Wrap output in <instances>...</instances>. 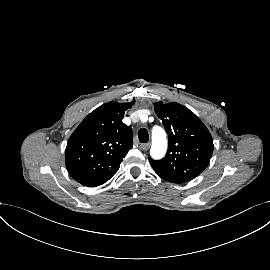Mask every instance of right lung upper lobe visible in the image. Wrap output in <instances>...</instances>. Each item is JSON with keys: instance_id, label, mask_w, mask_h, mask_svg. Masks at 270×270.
<instances>
[{"instance_id": "cb5924a9", "label": "right lung upper lobe", "mask_w": 270, "mask_h": 270, "mask_svg": "<svg viewBox=\"0 0 270 270\" xmlns=\"http://www.w3.org/2000/svg\"><path fill=\"white\" fill-rule=\"evenodd\" d=\"M108 102L91 112L68 140L65 163L71 177L84 186L108 181L132 148V129L122 122L134 105Z\"/></svg>"}]
</instances>
